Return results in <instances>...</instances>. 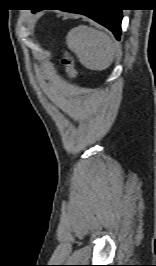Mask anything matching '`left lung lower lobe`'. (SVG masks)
<instances>
[{"label":"left lung lower lobe","instance_id":"1","mask_svg":"<svg viewBox=\"0 0 156 266\" xmlns=\"http://www.w3.org/2000/svg\"><path fill=\"white\" fill-rule=\"evenodd\" d=\"M37 11V10H33ZM67 11L82 13L113 32L119 40L121 35L122 10L112 8L70 9Z\"/></svg>","mask_w":156,"mask_h":266}]
</instances>
